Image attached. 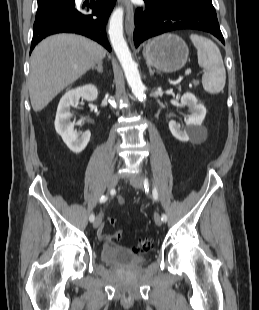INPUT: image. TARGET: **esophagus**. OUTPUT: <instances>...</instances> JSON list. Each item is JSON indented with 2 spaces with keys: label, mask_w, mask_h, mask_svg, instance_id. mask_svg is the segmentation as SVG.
I'll return each instance as SVG.
<instances>
[{
  "label": "esophagus",
  "mask_w": 259,
  "mask_h": 310,
  "mask_svg": "<svg viewBox=\"0 0 259 310\" xmlns=\"http://www.w3.org/2000/svg\"><path fill=\"white\" fill-rule=\"evenodd\" d=\"M119 3L123 4L126 8V32L128 35L133 33L134 27V9L133 4L130 0H118Z\"/></svg>",
  "instance_id": "obj_1"
}]
</instances>
